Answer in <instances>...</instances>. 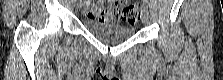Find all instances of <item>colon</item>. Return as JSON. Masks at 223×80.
Returning <instances> with one entry per match:
<instances>
[{"label":"colon","instance_id":"obj_1","mask_svg":"<svg viewBox=\"0 0 223 80\" xmlns=\"http://www.w3.org/2000/svg\"><path fill=\"white\" fill-rule=\"evenodd\" d=\"M113 11L129 25L138 24L141 18L137 5L130 1H115Z\"/></svg>","mask_w":223,"mask_h":80}]
</instances>
